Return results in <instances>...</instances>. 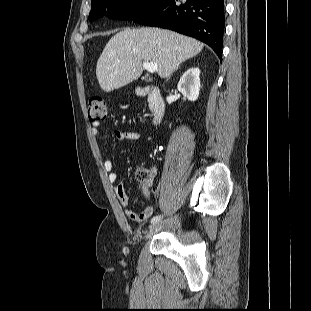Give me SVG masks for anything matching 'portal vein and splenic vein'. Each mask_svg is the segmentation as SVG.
<instances>
[{"instance_id":"portal-vein-and-splenic-vein-1","label":"portal vein and splenic vein","mask_w":311,"mask_h":311,"mask_svg":"<svg viewBox=\"0 0 311 311\" xmlns=\"http://www.w3.org/2000/svg\"><path fill=\"white\" fill-rule=\"evenodd\" d=\"M143 68L146 69L149 73H154L157 71V64L149 61H145L142 64Z\"/></svg>"}]
</instances>
